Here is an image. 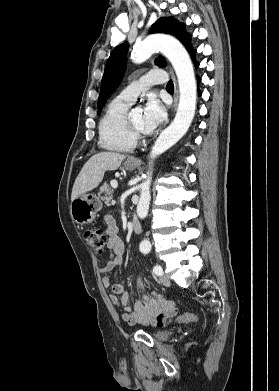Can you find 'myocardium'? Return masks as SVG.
<instances>
[{
    "instance_id": "myocardium-1",
    "label": "myocardium",
    "mask_w": 279,
    "mask_h": 391,
    "mask_svg": "<svg viewBox=\"0 0 279 391\" xmlns=\"http://www.w3.org/2000/svg\"><path fill=\"white\" fill-rule=\"evenodd\" d=\"M125 122L127 129L132 137V139L137 143L141 141H145L147 138V135L140 131L133 123V121L130 118V114L127 113L125 117Z\"/></svg>"
}]
</instances>
